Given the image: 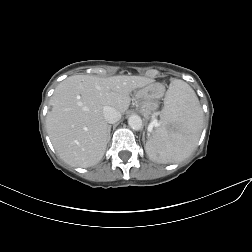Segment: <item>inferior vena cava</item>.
Segmentation results:
<instances>
[{
  "label": "inferior vena cava",
  "instance_id": "obj_1",
  "mask_svg": "<svg viewBox=\"0 0 252 252\" xmlns=\"http://www.w3.org/2000/svg\"><path fill=\"white\" fill-rule=\"evenodd\" d=\"M103 116L108 123L113 124L120 120L121 113L111 106H104Z\"/></svg>",
  "mask_w": 252,
  "mask_h": 252
}]
</instances>
